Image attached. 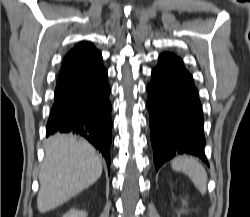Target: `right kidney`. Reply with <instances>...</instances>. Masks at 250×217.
I'll return each mask as SVG.
<instances>
[{
    "instance_id": "ca27d5eb",
    "label": "right kidney",
    "mask_w": 250,
    "mask_h": 217,
    "mask_svg": "<svg viewBox=\"0 0 250 217\" xmlns=\"http://www.w3.org/2000/svg\"><path fill=\"white\" fill-rule=\"evenodd\" d=\"M63 217H87V212L76 209H70L63 215Z\"/></svg>"
}]
</instances>
